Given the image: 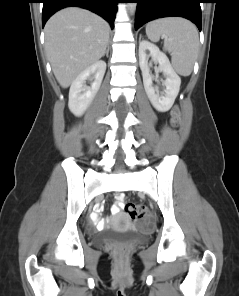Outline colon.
Segmentation results:
<instances>
[{"label": "colon", "mask_w": 239, "mask_h": 296, "mask_svg": "<svg viewBox=\"0 0 239 296\" xmlns=\"http://www.w3.org/2000/svg\"><path fill=\"white\" fill-rule=\"evenodd\" d=\"M177 115H178L177 110H174L172 114V120H171L173 125H176L178 122ZM124 210L133 221L141 220L147 216V209L145 206L141 204L130 203V202L126 203L124 206Z\"/></svg>", "instance_id": "colon-1"}]
</instances>
